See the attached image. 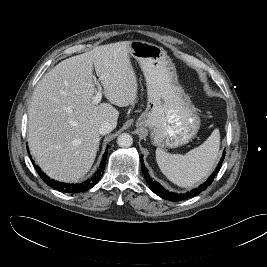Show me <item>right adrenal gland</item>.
<instances>
[{
	"label": "right adrenal gland",
	"instance_id": "right-adrenal-gland-1",
	"mask_svg": "<svg viewBox=\"0 0 267 267\" xmlns=\"http://www.w3.org/2000/svg\"><path fill=\"white\" fill-rule=\"evenodd\" d=\"M100 139H101V137H100ZM100 141V140H99ZM97 149H99V143H98V148Z\"/></svg>",
	"mask_w": 267,
	"mask_h": 267
}]
</instances>
